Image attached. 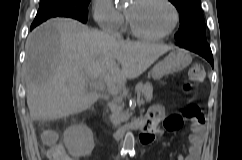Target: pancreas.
Here are the masks:
<instances>
[{
  "label": "pancreas",
  "instance_id": "1",
  "mask_svg": "<svg viewBox=\"0 0 242 160\" xmlns=\"http://www.w3.org/2000/svg\"><path fill=\"white\" fill-rule=\"evenodd\" d=\"M137 91H139L142 96H144L145 100L147 102H150L153 97V87L150 83H138L135 87ZM111 121L114 125L120 124L122 121L125 120V116L123 113V108L120 104V101H118L112 108V115H111Z\"/></svg>",
  "mask_w": 242,
  "mask_h": 160
}]
</instances>
